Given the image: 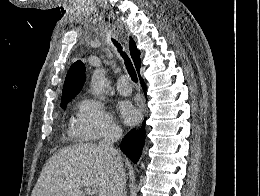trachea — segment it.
Here are the masks:
<instances>
[{
  "label": "trachea",
  "instance_id": "3493384b",
  "mask_svg": "<svg viewBox=\"0 0 260 196\" xmlns=\"http://www.w3.org/2000/svg\"><path fill=\"white\" fill-rule=\"evenodd\" d=\"M111 41L113 42L114 46L117 48L118 52L122 56V58L124 60V63H125V66H126V69H127L128 73H129L132 81L137 83L138 82V77H137L135 68L133 67L132 62H131L129 56L127 55L126 52H124L122 50V46H121V44L117 40L112 38Z\"/></svg>",
  "mask_w": 260,
  "mask_h": 196
}]
</instances>
